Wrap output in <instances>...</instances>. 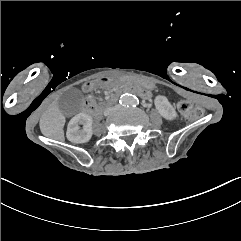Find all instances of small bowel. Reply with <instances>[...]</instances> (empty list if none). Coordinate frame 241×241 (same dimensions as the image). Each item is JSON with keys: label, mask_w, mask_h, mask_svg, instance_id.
<instances>
[{"label": "small bowel", "mask_w": 241, "mask_h": 241, "mask_svg": "<svg viewBox=\"0 0 241 241\" xmlns=\"http://www.w3.org/2000/svg\"><path fill=\"white\" fill-rule=\"evenodd\" d=\"M110 83H111L110 78H108V77L101 78L96 82L86 83V87H83V92H89L90 89H92L96 86H100V85L108 86V85H110ZM87 97H88V99H86V101H85L84 110H85V112L90 113L93 110L94 101H93V99H91L92 98L91 95H88Z\"/></svg>", "instance_id": "small-bowel-1"}]
</instances>
